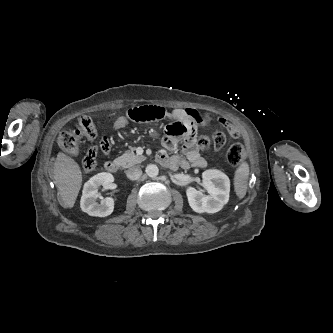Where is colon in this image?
Wrapping results in <instances>:
<instances>
[{"instance_id": "1", "label": "colon", "mask_w": 333, "mask_h": 333, "mask_svg": "<svg viewBox=\"0 0 333 333\" xmlns=\"http://www.w3.org/2000/svg\"><path fill=\"white\" fill-rule=\"evenodd\" d=\"M167 115L164 108L154 105L143 104L141 106H133L127 109L123 113V118L127 122H150L163 119ZM194 134L193 127L190 128ZM170 132L182 135L187 132V128L183 126L181 122H178L169 129ZM84 136L89 140H95L98 137L97 124L87 116L80 117L75 129L70 131H63L58 137L59 145L70 154H76L78 151L79 139ZM197 144L203 148L219 149L226 142V135L223 131L218 130L214 132L209 138L205 134L194 135ZM110 140L103 136L99 141V148L102 152L108 153L110 150ZM98 147L96 145L91 146L83 159V166L87 172H92L96 168V157ZM244 158L243 147L239 143L232 144L227 150V160L233 167L238 166Z\"/></svg>"}]
</instances>
